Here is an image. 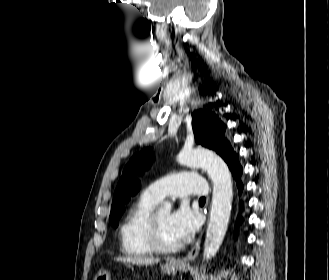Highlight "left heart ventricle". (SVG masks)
<instances>
[{"label":"left heart ventricle","instance_id":"obj_1","mask_svg":"<svg viewBox=\"0 0 329 280\" xmlns=\"http://www.w3.org/2000/svg\"><path fill=\"white\" fill-rule=\"evenodd\" d=\"M158 232L161 241L166 245L179 243L174 236L170 226V212L168 210H159L157 213Z\"/></svg>","mask_w":329,"mask_h":280}]
</instances>
